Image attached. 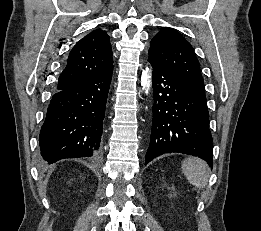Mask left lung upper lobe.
I'll return each instance as SVG.
<instances>
[{
	"label": "left lung upper lobe",
	"instance_id": "5c2ea615",
	"mask_svg": "<svg viewBox=\"0 0 261 231\" xmlns=\"http://www.w3.org/2000/svg\"><path fill=\"white\" fill-rule=\"evenodd\" d=\"M193 92L205 96L200 65L190 43L177 31L163 27L151 41L149 58Z\"/></svg>",
	"mask_w": 261,
	"mask_h": 231
}]
</instances>
